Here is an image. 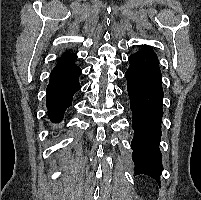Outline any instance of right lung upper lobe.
<instances>
[{"label": "right lung upper lobe", "mask_w": 201, "mask_h": 200, "mask_svg": "<svg viewBox=\"0 0 201 200\" xmlns=\"http://www.w3.org/2000/svg\"><path fill=\"white\" fill-rule=\"evenodd\" d=\"M76 58L77 57L75 54H72L70 52H65L60 58L55 68L52 70L51 75L56 73H61V72L74 68L76 66L74 63Z\"/></svg>", "instance_id": "cb5924a9"}]
</instances>
